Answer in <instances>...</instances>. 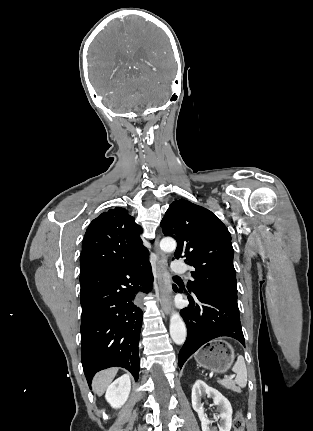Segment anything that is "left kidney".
Listing matches in <instances>:
<instances>
[{
	"label": "left kidney",
	"instance_id": "1",
	"mask_svg": "<svg viewBox=\"0 0 313 431\" xmlns=\"http://www.w3.org/2000/svg\"><path fill=\"white\" fill-rule=\"evenodd\" d=\"M213 398L214 405L219 407L220 426L219 431H230L232 426V407L230 402L216 389L209 387L202 380H197L192 388V407L197 412L201 421L202 431H212L210 425L213 421L207 418L204 414L203 404L201 399L203 395Z\"/></svg>",
	"mask_w": 313,
	"mask_h": 431
}]
</instances>
